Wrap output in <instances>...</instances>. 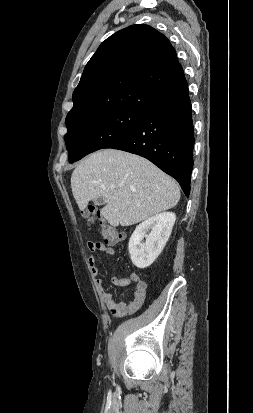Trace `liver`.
Here are the masks:
<instances>
[{
  "label": "liver",
  "instance_id": "obj_1",
  "mask_svg": "<svg viewBox=\"0 0 253 413\" xmlns=\"http://www.w3.org/2000/svg\"><path fill=\"white\" fill-rule=\"evenodd\" d=\"M80 210L102 198L101 215L114 227L130 226L176 206L180 189L149 160L122 150L104 149L83 160L71 176Z\"/></svg>",
  "mask_w": 253,
  "mask_h": 413
}]
</instances>
